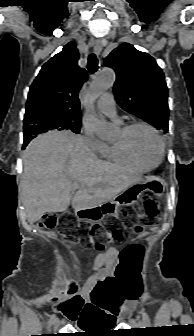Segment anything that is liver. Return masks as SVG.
Instances as JSON below:
<instances>
[{
	"label": "liver",
	"instance_id": "1",
	"mask_svg": "<svg viewBox=\"0 0 194 336\" xmlns=\"http://www.w3.org/2000/svg\"><path fill=\"white\" fill-rule=\"evenodd\" d=\"M23 165V200L31 225L46 212L65 211L70 203L79 210L111 201L142 180L133 168L100 160L69 131L32 140L23 153Z\"/></svg>",
	"mask_w": 194,
	"mask_h": 336
}]
</instances>
